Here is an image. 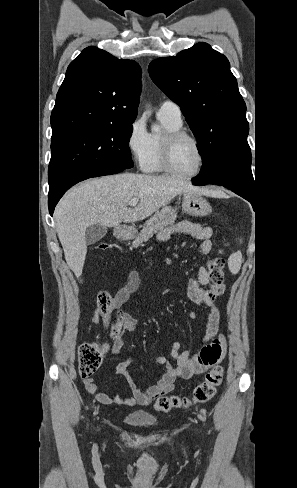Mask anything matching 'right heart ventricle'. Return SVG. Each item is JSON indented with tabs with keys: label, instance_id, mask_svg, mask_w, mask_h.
<instances>
[{
	"label": "right heart ventricle",
	"instance_id": "obj_1",
	"mask_svg": "<svg viewBox=\"0 0 297 488\" xmlns=\"http://www.w3.org/2000/svg\"><path fill=\"white\" fill-rule=\"evenodd\" d=\"M168 132L181 130L182 124H176L172 121L161 119ZM161 141L162 137L151 134L150 135V150L148 158L143 166V169L151 173H161L164 171L161 165Z\"/></svg>",
	"mask_w": 297,
	"mask_h": 488
}]
</instances>
